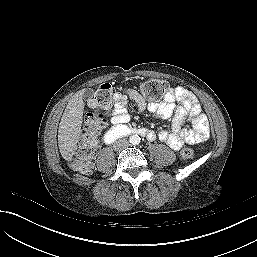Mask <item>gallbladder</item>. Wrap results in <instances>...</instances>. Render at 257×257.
<instances>
[{"instance_id": "1", "label": "gallbladder", "mask_w": 257, "mask_h": 257, "mask_svg": "<svg viewBox=\"0 0 257 257\" xmlns=\"http://www.w3.org/2000/svg\"><path fill=\"white\" fill-rule=\"evenodd\" d=\"M93 92L91 90H85L83 98L84 99H89L92 96Z\"/></svg>"}]
</instances>
